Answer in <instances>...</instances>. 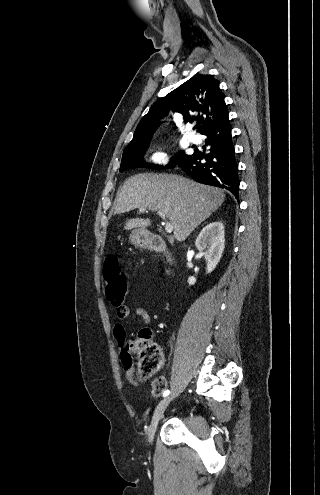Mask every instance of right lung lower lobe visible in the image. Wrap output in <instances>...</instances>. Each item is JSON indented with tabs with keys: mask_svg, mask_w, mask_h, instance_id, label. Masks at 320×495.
<instances>
[{
	"mask_svg": "<svg viewBox=\"0 0 320 495\" xmlns=\"http://www.w3.org/2000/svg\"><path fill=\"white\" fill-rule=\"evenodd\" d=\"M210 153L195 151L178 166L199 183L225 188L238 199L239 178L229 119L207 130ZM205 159V163L201 160Z\"/></svg>",
	"mask_w": 320,
	"mask_h": 495,
	"instance_id": "right-lung-lower-lobe-1",
	"label": "right lung lower lobe"
}]
</instances>
